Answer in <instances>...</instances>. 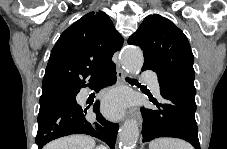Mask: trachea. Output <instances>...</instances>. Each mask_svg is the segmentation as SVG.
Masks as SVG:
<instances>
[{"label": "trachea", "mask_w": 227, "mask_h": 149, "mask_svg": "<svg viewBox=\"0 0 227 149\" xmlns=\"http://www.w3.org/2000/svg\"><path fill=\"white\" fill-rule=\"evenodd\" d=\"M128 81H132V82H137V80L135 79H130V78H127Z\"/></svg>", "instance_id": "3493384b"}]
</instances>
